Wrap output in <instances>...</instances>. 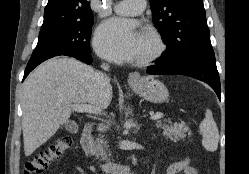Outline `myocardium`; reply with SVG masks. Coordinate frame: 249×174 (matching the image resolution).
<instances>
[{
    "instance_id": "1",
    "label": "myocardium",
    "mask_w": 249,
    "mask_h": 174,
    "mask_svg": "<svg viewBox=\"0 0 249 174\" xmlns=\"http://www.w3.org/2000/svg\"><path fill=\"white\" fill-rule=\"evenodd\" d=\"M143 31L146 32L152 39L153 49L136 60V64L140 66L148 65L163 56L167 49V45L160 32L152 27L145 26Z\"/></svg>"
}]
</instances>
